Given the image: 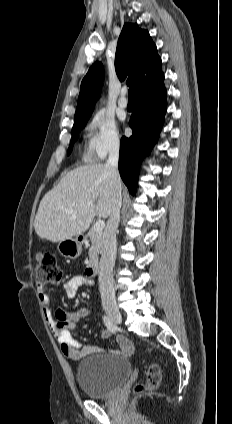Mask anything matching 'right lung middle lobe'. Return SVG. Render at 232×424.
<instances>
[{
	"label": "right lung middle lobe",
	"instance_id": "1",
	"mask_svg": "<svg viewBox=\"0 0 232 424\" xmlns=\"http://www.w3.org/2000/svg\"><path fill=\"white\" fill-rule=\"evenodd\" d=\"M88 119L89 117H85V118L74 121L73 129H72V138H71L70 146L67 152L68 155L71 153L73 149L74 140L77 139L79 131L86 125Z\"/></svg>",
	"mask_w": 232,
	"mask_h": 424
}]
</instances>
